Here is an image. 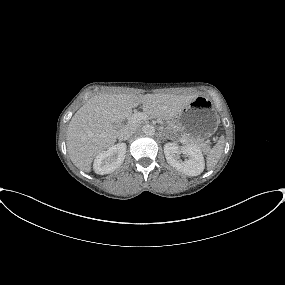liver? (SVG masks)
<instances>
[{"mask_svg": "<svg viewBox=\"0 0 285 285\" xmlns=\"http://www.w3.org/2000/svg\"><path fill=\"white\" fill-rule=\"evenodd\" d=\"M197 95L134 93L95 95L74 114L67 129V152L73 164L91 171L93 159L111 147L117 139L118 124L130 118L132 108L142 104L144 114L151 118L172 119ZM137 128V123H130Z\"/></svg>", "mask_w": 285, "mask_h": 285, "instance_id": "1", "label": "liver"}]
</instances>
